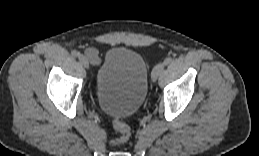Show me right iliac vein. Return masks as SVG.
I'll return each mask as SVG.
<instances>
[{
  "mask_svg": "<svg viewBox=\"0 0 259 156\" xmlns=\"http://www.w3.org/2000/svg\"><path fill=\"white\" fill-rule=\"evenodd\" d=\"M79 61L80 63L85 67V68H89V62L88 59L84 56V55H80L79 56Z\"/></svg>",
  "mask_w": 259,
  "mask_h": 156,
  "instance_id": "1",
  "label": "right iliac vein"
}]
</instances>
